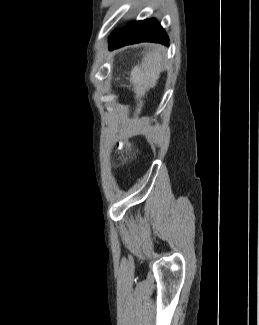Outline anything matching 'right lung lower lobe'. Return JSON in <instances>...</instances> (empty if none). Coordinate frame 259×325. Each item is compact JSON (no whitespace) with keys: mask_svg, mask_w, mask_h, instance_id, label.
<instances>
[{"mask_svg":"<svg viewBox=\"0 0 259 325\" xmlns=\"http://www.w3.org/2000/svg\"><path fill=\"white\" fill-rule=\"evenodd\" d=\"M139 42H156L168 45L169 39L156 19L135 21L111 35L109 50Z\"/></svg>","mask_w":259,"mask_h":325,"instance_id":"right-lung-lower-lobe-1","label":"right lung lower lobe"}]
</instances>
